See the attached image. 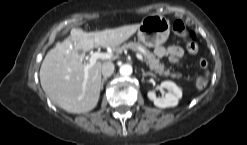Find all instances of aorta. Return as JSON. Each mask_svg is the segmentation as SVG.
<instances>
[{
	"instance_id": "obj_1",
	"label": "aorta",
	"mask_w": 247,
	"mask_h": 145,
	"mask_svg": "<svg viewBox=\"0 0 247 145\" xmlns=\"http://www.w3.org/2000/svg\"><path fill=\"white\" fill-rule=\"evenodd\" d=\"M120 74L122 76H130L132 74V66L129 64H124L120 67Z\"/></svg>"
}]
</instances>
